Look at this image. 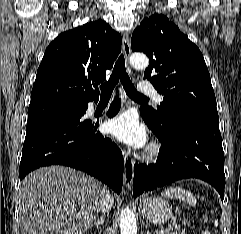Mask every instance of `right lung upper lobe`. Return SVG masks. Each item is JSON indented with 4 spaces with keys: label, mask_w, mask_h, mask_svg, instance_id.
I'll return each mask as SVG.
<instances>
[{
    "label": "right lung upper lobe",
    "mask_w": 241,
    "mask_h": 234,
    "mask_svg": "<svg viewBox=\"0 0 241 234\" xmlns=\"http://www.w3.org/2000/svg\"><path fill=\"white\" fill-rule=\"evenodd\" d=\"M121 43V36L101 19L58 35L38 68L30 105L87 104L98 99L97 86L106 80L105 72L113 67Z\"/></svg>",
    "instance_id": "right-lung-upper-lobe-1"
}]
</instances>
